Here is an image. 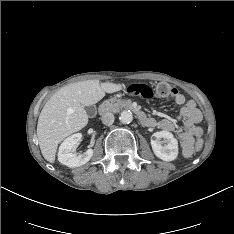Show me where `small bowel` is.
Instances as JSON below:
<instances>
[{
  "instance_id": "c3829d8e",
  "label": "small bowel",
  "mask_w": 234,
  "mask_h": 234,
  "mask_svg": "<svg viewBox=\"0 0 234 234\" xmlns=\"http://www.w3.org/2000/svg\"><path fill=\"white\" fill-rule=\"evenodd\" d=\"M173 91L174 93L172 96L175 103L182 106L178 118H164L161 120L149 118V123L146 126L158 128L163 131H173L177 128L178 123L181 122L178 136L183 153L188 155L191 151L193 138L200 137L202 134L201 128L198 127V123L202 119V114L196 107L194 101H187L184 95L178 93L175 89H173Z\"/></svg>"
}]
</instances>
